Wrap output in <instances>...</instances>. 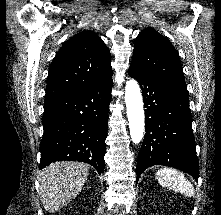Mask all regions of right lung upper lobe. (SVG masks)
<instances>
[{"label":"right lung upper lobe","instance_id":"1","mask_svg":"<svg viewBox=\"0 0 221 215\" xmlns=\"http://www.w3.org/2000/svg\"><path fill=\"white\" fill-rule=\"evenodd\" d=\"M112 74L105 43L95 33L82 31L56 54L49 69L44 105L72 96Z\"/></svg>","mask_w":221,"mask_h":215}]
</instances>
